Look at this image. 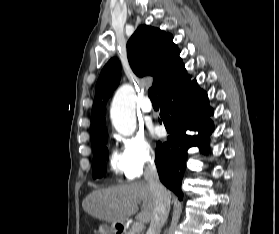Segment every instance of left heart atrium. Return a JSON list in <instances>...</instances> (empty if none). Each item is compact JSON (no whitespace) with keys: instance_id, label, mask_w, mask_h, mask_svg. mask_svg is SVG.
Listing matches in <instances>:
<instances>
[{"instance_id":"obj_1","label":"left heart atrium","mask_w":279,"mask_h":234,"mask_svg":"<svg viewBox=\"0 0 279 234\" xmlns=\"http://www.w3.org/2000/svg\"><path fill=\"white\" fill-rule=\"evenodd\" d=\"M151 132H152L153 134L157 135V134L159 133V130H158L157 128H155V127H152V128H151Z\"/></svg>"}]
</instances>
